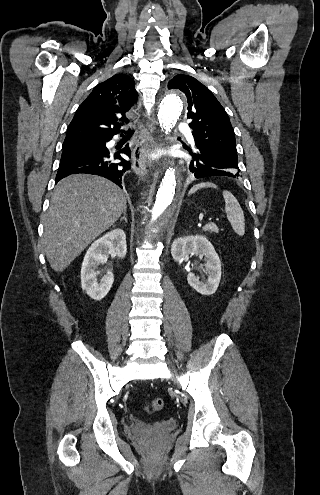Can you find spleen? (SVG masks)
I'll use <instances>...</instances> for the list:
<instances>
[{
	"label": "spleen",
	"mask_w": 320,
	"mask_h": 495,
	"mask_svg": "<svg viewBox=\"0 0 320 495\" xmlns=\"http://www.w3.org/2000/svg\"><path fill=\"white\" fill-rule=\"evenodd\" d=\"M201 188H217L214 183L210 182H202L191 188L190 194H193L197 190ZM223 198L225 200V212L227 214V219L229 220L233 230L239 236L244 235L245 233V222H244V213L242 208L240 207L239 202L234 197V195L224 190Z\"/></svg>",
	"instance_id": "3e777b00"
}]
</instances>
